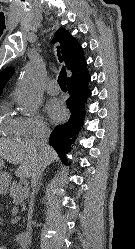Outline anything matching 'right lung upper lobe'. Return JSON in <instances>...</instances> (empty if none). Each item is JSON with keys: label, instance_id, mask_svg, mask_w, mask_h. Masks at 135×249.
<instances>
[{"label": "right lung upper lobe", "instance_id": "1", "mask_svg": "<svg viewBox=\"0 0 135 249\" xmlns=\"http://www.w3.org/2000/svg\"><path fill=\"white\" fill-rule=\"evenodd\" d=\"M56 41L60 45L63 61L67 69L72 72V76L67 79V83L81 80L87 76L89 74L87 70V62L82 47L77 39H75L66 29L59 28L53 38V42ZM13 72V67L6 68L0 72V95L3 87L12 76Z\"/></svg>", "mask_w": 135, "mask_h": 249}]
</instances>
